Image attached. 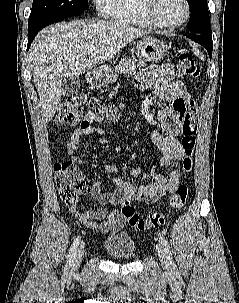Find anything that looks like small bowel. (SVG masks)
Returning <instances> with one entry per match:
<instances>
[{
  "instance_id": "obj_1",
  "label": "small bowel",
  "mask_w": 239,
  "mask_h": 303,
  "mask_svg": "<svg viewBox=\"0 0 239 303\" xmlns=\"http://www.w3.org/2000/svg\"><path fill=\"white\" fill-rule=\"evenodd\" d=\"M135 85L140 90L150 88L154 100L169 104L158 113L159 122L167 130V134L162 135L155 130L150 133V140L161 154L159 163L148 169L154 181L137 186L126 178L116 177L112 180L115 188L109 192H102L101 182L95 181L91 184L89 193L101 207L94 210H82L77 206L69 207L70 213L77 222L108 237L116 236L125 224V219L117 209L122 201L154 203L166 193L174 192L179 186L181 178L184 150L180 139V119L184 114L185 102L188 100L186 87L182 82L173 79V68L170 64L152 66L140 72L135 78ZM111 117V115L105 116L89 111L72 131L66 147L68 155L76 164L82 162L81 158L76 155L81 137L89 134L104 135V132L95 123L104 122ZM171 166L173 168L168 175L161 172V169ZM104 169L109 173L120 171L119 167L111 164L104 165ZM142 173L143 169L131 171V175L135 179Z\"/></svg>"
}]
</instances>
